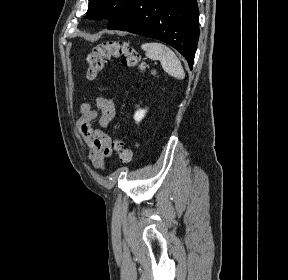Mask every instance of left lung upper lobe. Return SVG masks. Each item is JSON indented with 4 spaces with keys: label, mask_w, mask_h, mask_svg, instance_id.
<instances>
[{
    "label": "left lung upper lobe",
    "mask_w": 288,
    "mask_h": 280,
    "mask_svg": "<svg viewBox=\"0 0 288 280\" xmlns=\"http://www.w3.org/2000/svg\"><path fill=\"white\" fill-rule=\"evenodd\" d=\"M136 0H89L87 17L108 19V26L114 25Z\"/></svg>",
    "instance_id": "1"
}]
</instances>
